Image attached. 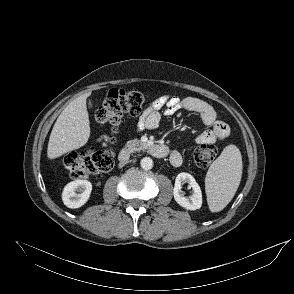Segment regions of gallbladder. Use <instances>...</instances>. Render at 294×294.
<instances>
[{"instance_id": "1", "label": "gallbladder", "mask_w": 294, "mask_h": 294, "mask_svg": "<svg viewBox=\"0 0 294 294\" xmlns=\"http://www.w3.org/2000/svg\"><path fill=\"white\" fill-rule=\"evenodd\" d=\"M89 107H92L93 103H92V100H89Z\"/></svg>"}]
</instances>
